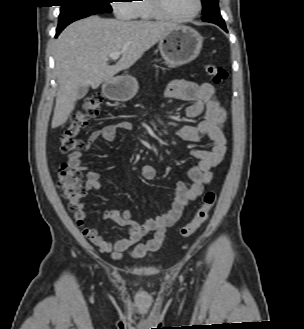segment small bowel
<instances>
[{"mask_svg": "<svg viewBox=\"0 0 304 329\" xmlns=\"http://www.w3.org/2000/svg\"><path fill=\"white\" fill-rule=\"evenodd\" d=\"M165 96L170 100L189 101L191 104L186 108V116L196 118L203 116V120L197 125H183L175 130V135L187 142L210 141V149L192 150V156L198 163L191 167L188 176L191 185L186 186L179 183L176 186L175 198L168 212L138 223L131 218L128 210H107L103 216L117 222L124 227L128 233L126 238L114 242L106 240L99 230L85 225L86 209L84 203H80L74 211V218L82 228V233L100 251L111 254L112 258L119 260L123 254L130 250V256L140 259L158 251L162 246L166 229L172 226L181 217L184 209L190 202L197 199L203 192L204 185L212 179V169L223 160L227 147L224 135V124L227 119V111L215 94V89L210 83H195L188 80H177L172 82L165 91ZM133 124L128 121H114L102 128L95 130L89 136L84 151L88 150L97 140L110 142L114 139L118 130H132ZM83 152H72L69 154V164L76 170L86 173V188L88 190H99L101 188L100 174L96 171H88L82 162ZM141 176L146 180H153L156 169L152 165H144L141 168ZM153 237L142 243L141 238L148 233Z\"/></svg>", "mask_w": 304, "mask_h": 329, "instance_id": "1", "label": "small bowel"}]
</instances>
